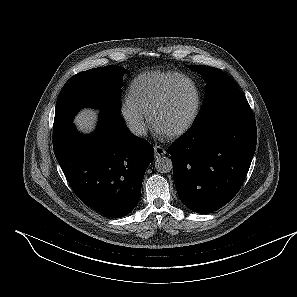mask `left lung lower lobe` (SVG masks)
Returning <instances> with one entry per match:
<instances>
[{
    "instance_id": "obj_1",
    "label": "left lung lower lobe",
    "mask_w": 297,
    "mask_h": 297,
    "mask_svg": "<svg viewBox=\"0 0 297 297\" xmlns=\"http://www.w3.org/2000/svg\"><path fill=\"white\" fill-rule=\"evenodd\" d=\"M202 117L169 153L181 201L194 212L211 213L240 190L256 150L257 130L247 103Z\"/></svg>"
}]
</instances>
